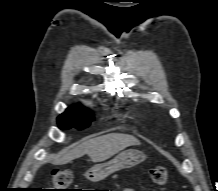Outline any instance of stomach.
<instances>
[{"mask_svg":"<svg viewBox=\"0 0 218 191\" xmlns=\"http://www.w3.org/2000/svg\"><path fill=\"white\" fill-rule=\"evenodd\" d=\"M144 159L145 156L140 151L127 150L118 154L106 163L94 165L85 173V177L92 182H98L113 172L131 168L142 162Z\"/></svg>","mask_w":218,"mask_h":191,"instance_id":"0dacf381","label":"stomach"}]
</instances>
